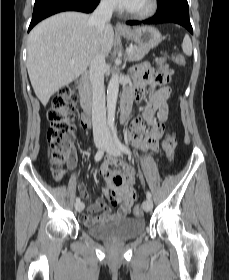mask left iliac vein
Here are the masks:
<instances>
[{"label":"left iliac vein","mask_w":229,"mask_h":280,"mask_svg":"<svg viewBox=\"0 0 229 280\" xmlns=\"http://www.w3.org/2000/svg\"><path fill=\"white\" fill-rule=\"evenodd\" d=\"M105 151L113 156H119L120 155V149L118 148V146L116 145V143L113 141V139L111 137H107L106 138V142H105ZM153 207V203L151 199H146L143 202V209L145 212H149L152 210Z\"/></svg>","instance_id":"4c4485c4"}]
</instances>
